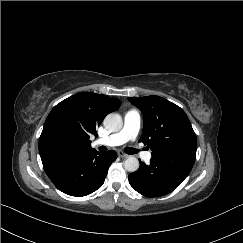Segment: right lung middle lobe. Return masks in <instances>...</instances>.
<instances>
[{
	"label": "right lung middle lobe",
	"instance_id": "right-lung-middle-lobe-1",
	"mask_svg": "<svg viewBox=\"0 0 243 243\" xmlns=\"http://www.w3.org/2000/svg\"><path fill=\"white\" fill-rule=\"evenodd\" d=\"M76 144L75 133L65 125L53 121L44 125L39 139L42 160L52 162L67 158Z\"/></svg>",
	"mask_w": 243,
	"mask_h": 243
}]
</instances>
